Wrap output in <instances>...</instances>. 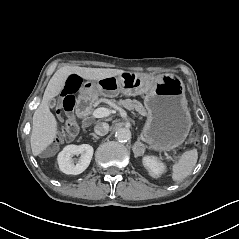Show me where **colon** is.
Masks as SVG:
<instances>
[{"label":"colon","mask_w":239,"mask_h":239,"mask_svg":"<svg viewBox=\"0 0 239 239\" xmlns=\"http://www.w3.org/2000/svg\"><path fill=\"white\" fill-rule=\"evenodd\" d=\"M80 84L81 79L76 75H71L66 81L62 104V111L65 113V119L58 135V141L69 139L77 133L78 127L73 117V111L76 105L75 93ZM189 138L192 142H196L197 134L195 130L190 132Z\"/></svg>","instance_id":"1"}]
</instances>
